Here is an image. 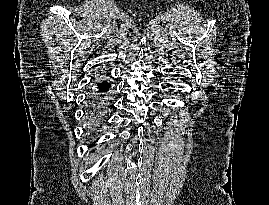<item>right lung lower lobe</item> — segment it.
I'll use <instances>...</instances> for the list:
<instances>
[{
	"label": "right lung lower lobe",
	"mask_w": 269,
	"mask_h": 205,
	"mask_svg": "<svg viewBox=\"0 0 269 205\" xmlns=\"http://www.w3.org/2000/svg\"><path fill=\"white\" fill-rule=\"evenodd\" d=\"M110 84L109 83H101V84H98L96 90H94V96L95 97H98V99H102L104 100V96L109 92L110 90ZM101 109L97 107V103L95 106H92L90 108V118H91V123L94 125L96 124V116L98 114V112L100 111Z\"/></svg>",
	"instance_id": "right-lung-lower-lobe-1"
}]
</instances>
